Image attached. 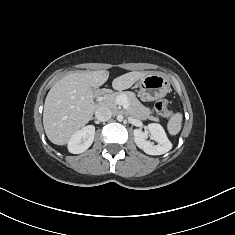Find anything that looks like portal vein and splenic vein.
I'll return each instance as SVG.
<instances>
[{
  "label": "portal vein and splenic vein",
  "instance_id": "portal-vein-and-splenic-vein-1",
  "mask_svg": "<svg viewBox=\"0 0 235 235\" xmlns=\"http://www.w3.org/2000/svg\"><path fill=\"white\" fill-rule=\"evenodd\" d=\"M116 104L122 105L124 109L129 108V103L127 101V98L123 95H120L116 98Z\"/></svg>",
  "mask_w": 235,
  "mask_h": 235
}]
</instances>
